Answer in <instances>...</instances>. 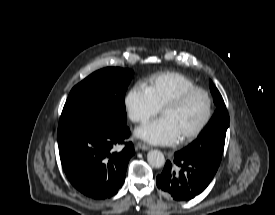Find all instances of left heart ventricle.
Wrapping results in <instances>:
<instances>
[{
    "label": "left heart ventricle",
    "instance_id": "b2bd125f",
    "mask_svg": "<svg viewBox=\"0 0 275 215\" xmlns=\"http://www.w3.org/2000/svg\"><path fill=\"white\" fill-rule=\"evenodd\" d=\"M206 112V97L202 93H195L179 107L163 110L162 117L169 119L174 124L181 138L201 123Z\"/></svg>",
    "mask_w": 275,
    "mask_h": 215
}]
</instances>
